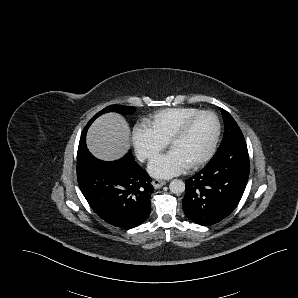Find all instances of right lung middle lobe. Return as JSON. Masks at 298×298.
Wrapping results in <instances>:
<instances>
[{"instance_id":"dd1d6c3e","label":"right lung middle lobe","mask_w":298,"mask_h":298,"mask_svg":"<svg viewBox=\"0 0 298 298\" xmlns=\"http://www.w3.org/2000/svg\"><path fill=\"white\" fill-rule=\"evenodd\" d=\"M135 111V107H130V106H123V105H110L106 108H104L103 110H101L100 112H98L86 125V127L84 128L81 138H80V142H79V148H78V153L79 154H83L86 150V132L88 127L91 125V123L101 114L107 113V112H118V113H123V114H131Z\"/></svg>"}]
</instances>
